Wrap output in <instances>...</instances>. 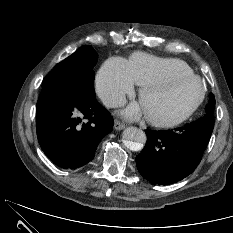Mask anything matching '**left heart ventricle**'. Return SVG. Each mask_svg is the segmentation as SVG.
<instances>
[{
    "mask_svg": "<svg viewBox=\"0 0 233 233\" xmlns=\"http://www.w3.org/2000/svg\"><path fill=\"white\" fill-rule=\"evenodd\" d=\"M200 93V84L187 79L146 91L140 103L147 115L157 119H175L195 104Z\"/></svg>",
    "mask_w": 233,
    "mask_h": 233,
    "instance_id": "b2bd125f",
    "label": "left heart ventricle"
}]
</instances>
